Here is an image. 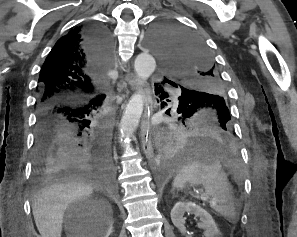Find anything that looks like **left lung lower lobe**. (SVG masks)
<instances>
[{
  "label": "left lung lower lobe",
  "mask_w": 297,
  "mask_h": 237,
  "mask_svg": "<svg viewBox=\"0 0 297 237\" xmlns=\"http://www.w3.org/2000/svg\"><path fill=\"white\" fill-rule=\"evenodd\" d=\"M168 97L162 95V99ZM181 98L177 112L182 117L190 118L167 146V153L162 160L164 167H177L198 158L228 157L236 148L235 134L228 128L224 117L213 113L188 114L183 109Z\"/></svg>",
  "instance_id": "1"
}]
</instances>
